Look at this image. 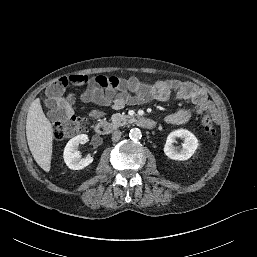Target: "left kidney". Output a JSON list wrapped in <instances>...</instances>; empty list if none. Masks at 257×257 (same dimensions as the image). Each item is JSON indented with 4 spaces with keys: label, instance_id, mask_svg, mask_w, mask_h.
<instances>
[{
    "label": "left kidney",
    "instance_id": "1",
    "mask_svg": "<svg viewBox=\"0 0 257 257\" xmlns=\"http://www.w3.org/2000/svg\"><path fill=\"white\" fill-rule=\"evenodd\" d=\"M176 138L184 140L182 148H176L173 146ZM198 147V140L193 133L186 129H178L171 132L166 140L164 146V153L170 159L185 161L191 158Z\"/></svg>",
    "mask_w": 257,
    "mask_h": 257
}]
</instances>
